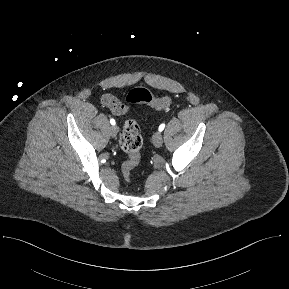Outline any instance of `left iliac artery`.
I'll return each mask as SVG.
<instances>
[{"label": "left iliac artery", "mask_w": 289, "mask_h": 289, "mask_svg": "<svg viewBox=\"0 0 289 289\" xmlns=\"http://www.w3.org/2000/svg\"><path fill=\"white\" fill-rule=\"evenodd\" d=\"M164 128H165V124L164 123H162L160 126H159V131L161 132V131H163L164 130Z\"/></svg>", "instance_id": "obj_1"}]
</instances>
